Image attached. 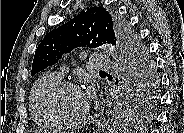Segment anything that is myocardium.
<instances>
[{"mask_svg": "<svg viewBox=\"0 0 184 133\" xmlns=\"http://www.w3.org/2000/svg\"><path fill=\"white\" fill-rule=\"evenodd\" d=\"M68 88H78L80 86L71 80H62L56 84L49 92L47 97V106L52 117L57 121V124H64L67 126H79L84 124L90 117V106L88 107L87 112L80 118L70 119L62 115L58 107L59 97L63 91Z\"/></svg>", "mask_w": 184, "mask_h": 133, "instance_id": "1", "label": "myocardium"}]
</instances>
